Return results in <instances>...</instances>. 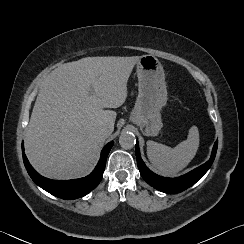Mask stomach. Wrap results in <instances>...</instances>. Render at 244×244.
<instances>
[{
	"label": "stomach",
	"instance_id": "stomach-1",
	"mask_svg": "<svg viewBox=\"0 0 244 244\" xmlns=\"http://www.w3.org/2000/svg\"><path fill=\"white\" fill-rule=\"evenodd\" d=\"M138 97L131 113V121L146 136H157L163 127L162 113L167 107V89L164 69L151 54L137 62Z\"/></svg>",
	"mask_w": 244,
	"mask_h": 244
}]
</instances>
